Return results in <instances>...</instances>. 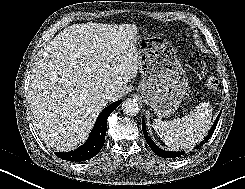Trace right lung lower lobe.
I'll use <instances>...</instances> for the list:
<instances>
[{"mask_svg":"<svg viewBox=\"0 0 245 189\" xmlns=\"http://www.w3.org/2000/svg\"><path fill=\"white\" fill-rule=\"evenodd\" d=\"M121 102L122 100L112 103L100 113L88 140L82 146L74 151L55 155L67 161H85L97 155L105 142L107 118Z\"/></svg>","mask_w":245,"mask_h":189,"instance_id":"right-lung-lower-lobe-1","label":"right lung lower lobe"}]
</instances>
